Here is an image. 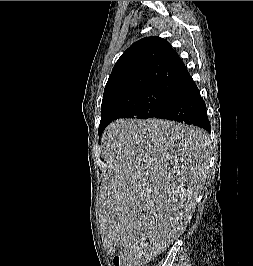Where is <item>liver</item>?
Returning <instances> with one entry per match:
<instances>
[{"label":"liver","instance_id":"obj_1","mask_svg":"<svg viewBox=\"0 0 253 266\" xmlns=\"http://www.w3.org/2000/svg\"><path fill=\"white\" fill-rule=\"evenodd\" d=\"M107 182L101 233L134 262L165 251L186 230L206 181L209 136L162 119H119L101 139Z\"/></svg>","mask_w":253,"mask_h":266}]
</instances>
